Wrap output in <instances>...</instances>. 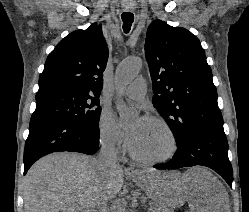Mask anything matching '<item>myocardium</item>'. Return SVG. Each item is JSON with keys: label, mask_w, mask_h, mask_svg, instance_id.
Returning <instances> with one entry per match:
<instances>
[{"label": "myocardium", "mask_w": 249, "mask_h": 212, "mask_svg": "<svg viewBox=\"0 0 249 212\" xmlns=\"http://www.w3.org/2000/svg\"><path fill=\"white\" fill-rule=\"evenodd\" d=\"M143 120L149 121V122H155L161 125L171 138L172 148L168 155L164 157H160V158H153V159L143 158L135 154L132 150H130V155L132 159L138 163L145 164V165H157V164L166 163L172 160L177 155L178 150H179V141L172 127L164 119L158 116H153V115L144 116Z\"/></svg>", "instance_id": "1"}]
</instances>
